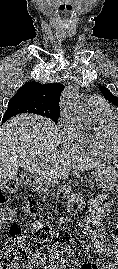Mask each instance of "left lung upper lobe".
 <instances>
[{
  "label": "left lung upper lobe",
  "instance_id": "obj_1",
  "mask_svg": "<svg viewBox=\"0 0 118 269\" xmlns=\"http://www.w3.org/2000/svg\"><path fill=\"white\" fill-rule=\"evenodd\" d=\"M100 90L102 91L104 97L109 100L110 102H112L113 104H115L116 106H118V97H116L115 95H113L109 89H107L104 86H100Z\"/></svg>",
  "mask_w": 118,
  "mask_h": 269
}]
</instances>
